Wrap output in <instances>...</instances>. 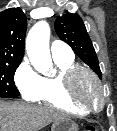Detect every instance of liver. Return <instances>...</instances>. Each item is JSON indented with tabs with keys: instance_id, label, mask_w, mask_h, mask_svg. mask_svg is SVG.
<instances>
[{
	"instance_id": "obj_1",
	"label": "liver",
	"mask_w": 117,
	"mask_h": 131,
	"mask_svg": "<svg viewBox=\"0 0 117 131\" xmlns=\"http://www.w3.org/2000/svg\"><path fill=\"white\" fill-rule=\"evenodd\" d=\"M62 118L67 116L53 107L0 101V131H39Z\"/></svg>"
}]
</instances>
